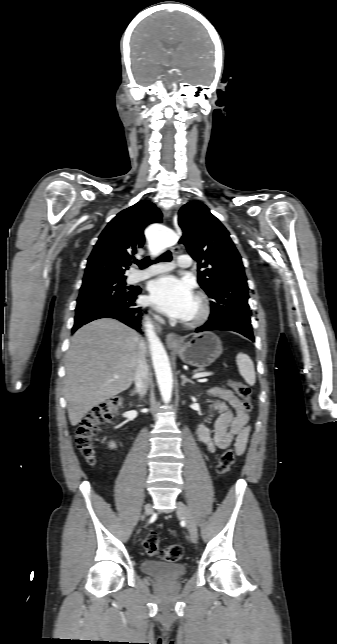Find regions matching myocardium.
I'll return each mask as SVG.
<instances>
[{
  "mask_svg": "<svg viewBox=\"0 0 337 644\" xmlns=\"http://www.w3.org/2000/svg\"><path fill=\"white\" fill-rule=\"evenodd\" d=\"M194 299L197 302V311L190 318L183 319V324L187 327H197L204 324L211 314V303L207 294L199 291L195 294Z\"/></svg>",
  "mask_w": 337,
  "mask_h": 644,
  "instance_id": "f54148a6",
  "label": "myocardium"
}]
</instances>
